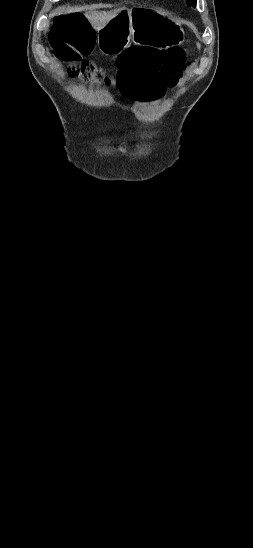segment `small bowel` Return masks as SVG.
Returning <instances> with one entry per match:
<instances>
[{
	"label": "small bowel",
	"instance_id": "1",
	"mask_svg": "<svg viewBox=\"0 0 253 548\" xmlns=\"http://www.w3.org/2000/svg\"><path fill=\"white\" fill-rule=\"evenodd\" d=\"M175 84H176V83H171L169 87L174 86ZM167 88H168V87H167ZM151 97H152V96H150V98H151ZM161 97H163V96H161Z\"/></svg>",
	"mask_w": 253,
	"mask_h": 548
}]
</instances>
